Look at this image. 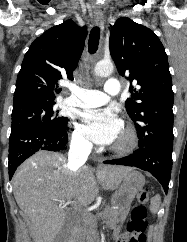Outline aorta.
<instances>
[{
	"label": "aorta",
	"mask_w": 187,
	"mask_h": 242,
	"mask_svg": "<svg viewBox=\"0 0 187 242\" xmlns=\"http://www.w3.org/2000/svg\"><path fill=\"white\" fill-rule=\"evenodd\" d=\"M114 70V66L111 62L100 61L96 64L94 72L97 76L106 77L109 76Z\"/></svg>",
	"instance_id": "1"
}]
</instances>
